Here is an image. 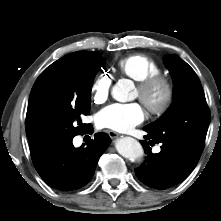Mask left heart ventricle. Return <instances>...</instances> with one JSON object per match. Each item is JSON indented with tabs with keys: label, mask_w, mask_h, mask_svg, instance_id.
<instances>
[{
	"label": "left heart ventricle",
	"mask_w": 221,
	"mask_h": 221,
	"mask_svg": "<svg viewBox=\"0 0 221 221\" xmlns=\"http://www.w3.org/2000/svg\"><path fill=\"white\" fill-rule=\"evenodd\" d=\"M136 97L140 98V91H139L138 88H137V91H136ZM161 97H162V90L161 89H156L151 95V101L154 102V103H158L161 100Z\"/></svg>",
	"instance_id": "left-heart-ventricle-1"
}]
</instances>
